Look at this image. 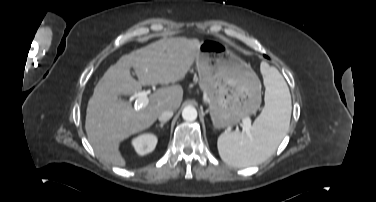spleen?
<instances>
[{
  "instance_id": "obj_1",
  "label": "spleen",
  "mask_w": 376,
  "mask_h": 202,
  "mask_svg": "<svg viewBox=\"0 0 376 202\" xmlns=\"http://www.w3.org/2000/svg\"><path fill=\"white\" fill-rule=\"evenodd\" d=\"M265 85V107L251 127L250 133L224 132L217 141L220 157L235 167H248L267 160L285 137L291 118L289 88L275 68L262 62Z\"/></svg>"
}]
</instances>
